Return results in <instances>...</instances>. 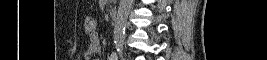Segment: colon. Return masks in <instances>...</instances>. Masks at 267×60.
<instances>
[{"label":"colon","mask_w":267,"mask_h":60,"mask_svg":"<svg viewBox=\"0 0 267 60\" xmlns=\"http://www.w3.org/2000/svg\"><path fill=\"white\" fill-rule=\"evenodd\" d=\"M98 23L91 15H86L84 18V29L87 34H92L96 31Z\"/></svg>","instance_id":"1"}]
</instances>
